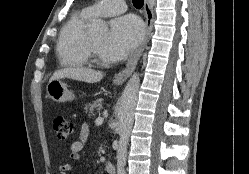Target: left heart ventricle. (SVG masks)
Returning <instances> with one entry per match:
<instances>
[{
	"label": "left heart ventricle",
	"instance_id": "b2bd125f",
	"mask_svg": "<svg viewBox=\"0 0 249 174\" xmlns=\"http://www.w3.org/2000/svg\"><path fill=\"white\" fill-rule=\"evenodd\" d=\"M107 36H108L107 33H101V34L91 36L98 56L104 61L108 60L106 52H105V48H104V44H105Z\"/></svg>",
	"mask_w": 249,
	"mask_h": 174
}]
</instances>
